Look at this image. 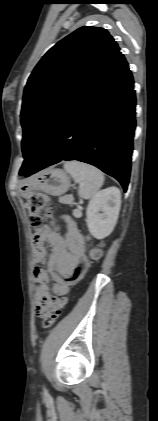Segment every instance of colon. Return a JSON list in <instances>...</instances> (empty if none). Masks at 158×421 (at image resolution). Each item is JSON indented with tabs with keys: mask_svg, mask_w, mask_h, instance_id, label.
I'll return each instance as SVG.
<instances>
[{
	"mask_svg": "<svg viewBox=\"0 0 158 421\" xmlns=\"http://www.w3.org/2000/svg\"><path fill=\"white\" fill-rule=\"evenodd\" d=\"M26 208L30 225L37 235L41 230L45 219L52 216V208L50 207V199L42 193L31 194L26 201ZM102 256V249L100 246L93 248L90 251V257L93 260H98ZM66 299L62 298L57 305L51 307L41 313V325L43 328L51 327L59 318L61 309L65 306Z\"/></svg>",
	"mask_w": 158,
	"mask_h": 421,
	"instance_id": "obj_1",
	"label": "colon"
}]
</instances>
